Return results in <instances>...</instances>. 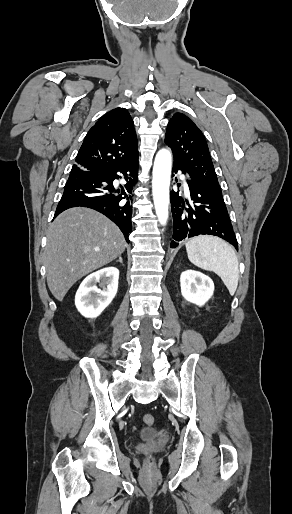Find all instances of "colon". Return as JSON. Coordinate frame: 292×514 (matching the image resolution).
<instances>
[{"label": "colon", "mask_w": 292, "mask_h": 514, "mask_svg": "<svg viewBox=\"0 0 292 514\" xmlns=\"http://www.w3.org/2000/svg\"><path fill=\"white\" fill-rule=\"evenodd\" d=\"M142 420H143L144 424L147 426H151L155 422V418L151 413H144L142 416ZM147 460L149 462H152V456H148Z\"/></svg>", "instance_id": "obj_1"}]
</instances>
